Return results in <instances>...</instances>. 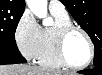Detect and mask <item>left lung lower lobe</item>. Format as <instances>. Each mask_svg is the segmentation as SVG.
Returning a JSON list of instances; mask_svg holds the SVG:
<instances>
[{"instance_id":"obj_1","label":"left lung lower lobe","mask_w":102,"mask_h":75,"mask_svg":"<svg viewBox=\"0 0 102 75\" xmlns=\"http://www.w3.org/2000/svg\"><path fill=\"white\" fill-rule=\"evenodd\" d=\"M78 73L89 74V75H101L102 74V64L95 66L94 69L81 70Z\"/></svg>"}]
</instances>
